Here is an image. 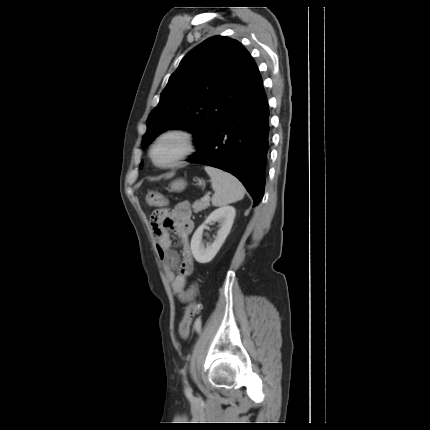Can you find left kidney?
I'll list each match as a JSON object with an SVG mask.
<instances>
[{
    "label": "left kidney",
    "mask_w": 430,
    "mask_h": 430,
    "mask_svg": "<svg viewBox=\"0 0 430 430\" xmlns=\"http://www.w3.org/2000/svg\"><path fill=\"white\" fill-rule=\"evenodd\" d=\"M235 208L224 206L211 212L208 218L197 228L191 239V250L194 258L199 263H208L216 256L225 242L232 228L235 218ZM218 222L219 229L215 240L204 242L202 240L203 230L207 224Z\"/></svg>",
    "instance_id": "obj_1"
}]
</instances>
